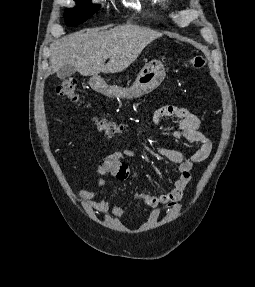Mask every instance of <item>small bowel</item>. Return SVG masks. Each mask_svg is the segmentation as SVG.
<instances>
[{
  "mask_svg": "<svg viewBox=\"0 0 255 287\" xmlns=\"http://www.w3.org/2000/svg\"><path fill=\"white\" fill-rule=\"evenodd\" d=\"M169 117L178 119V127L175 130L164 132V136L174 139L184 138L189 142L199 143L200 147L189 155L165 147L158 146L154 148V152L158 156L164 157L177 165L178 177L168 190L159 194H135V200L152 208L149 215V220L151 221H156L162 211L168 212L178 205L191 180L193 165L205 161L212 151V143L201 132L200 120L196 115L185 108L169 104L158 108L154 112L152 122L158 125L162 119ZM134 155L133 151L126 150L103 157L96 167L98 184L101 187L106 186V182L103 179V176L106 174H111L119 181L126 180L129 175V168L124 162V158ZM78 196L83 201L86 211L91 215L102 214L108 217L119 218L124 214V210L118 204L110 202L96 192L80 189Z\"/></svg>",
  "mask_w": 255,
  "mask_h": 287,
  "instance_id": "c3829d8e",
  "label": "small bowel"
}]
</instances>
